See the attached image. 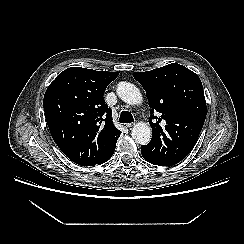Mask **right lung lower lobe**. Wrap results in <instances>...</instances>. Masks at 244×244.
<instances>
[{"label":"right lung lower lobe","mask_w":244,"mask_h":244,"mask_svg":"<svg viewBox=\"0 0 244 244\" xmlns=\"http://www.w3.org/2000/svg\"><path fill=\"white\" fill-rule=\"evenodd\" d=\"M113 153H114V151H113ZM113 153H112V155H113ZM112 155H111V156H112ZM111 156H110L107 160H109V159L111 158ZM107 160H106V161H107ZM106 161H104V162H106ZM104 162H103V163H104Z\"/></svg>","instance_id":"obj_1"}]
</instances>
